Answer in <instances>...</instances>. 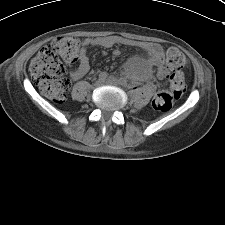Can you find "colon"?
Listing matches in <instances>:
<instances>
[{
  "label": "colon",
  "instance_id": "5ec220e1",
  "mask_svg": "<svg viewBox=\"0 0 225 225\" xmlns=\"http://www.w3.org/2000/svg\"><path fill=\"white\" fill-rule=\"evenodd\" d=\"M79 54V42L70 36H61L42 47L31 61L29 73L40 92L55 103L63 102L68 94L69 81L65 77L64 63H73ZM187 59L182 51L170 49L166 54V66L158 75L170 81V88L158 92L152 101L158 111H168L184 92L185 81L182 69Z\"/></svg>",
  "mask_w": 225,
  "mask_h": 225
}]
</instances>
